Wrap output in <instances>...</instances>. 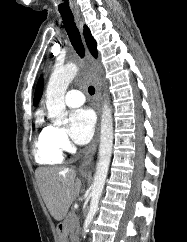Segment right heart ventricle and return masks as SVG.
Segmentation results:
<instances>
[{"label": "right heart ventricle", "mask_w": 187, "mask_h": 242, "mask_svg": "<svg viewBox=\"0 0 187 242\" xmlns=\"http://www.w3.org/2000/svg\"><path fill=\"white\" fill-rule=\"evenodd\" d=\"M36 137L34 141V156L42 165L59 164L63 160L62 150L53 142V126L48 124L42 113L36 117Z\"/></svg>", "instance_id": "right-heart-ventricle-1"}]
</instances>
